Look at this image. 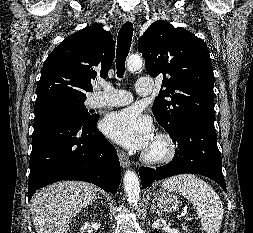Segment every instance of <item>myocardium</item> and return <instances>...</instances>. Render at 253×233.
I'll return each instance as SVG.
<instances>
[{
	"label": "myocardium",
	"instance_id": "1",
	"mask_svg": "<svg viewBox=\"0 0 253 233\" xmlns=\"http://www.w3.org/2000/svg\"><path fill=\"white\" fill-rule=\"evenodd\" d=\"M177 152L178 148L174 138L168 132H160L143 154V159L153 164L168 163L176 157Z\"/></svg>",
	"mask_w": 253,
	"mask_h": 233
}]
</instances>
